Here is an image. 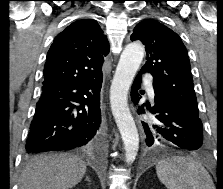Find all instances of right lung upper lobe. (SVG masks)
I'll return each mask as SVG.
<instances>
[{
  "label": "right lung upper lobe",
  "instance_id": "right-lung-upper-lobe-1",
  "mask_svg": "<svg viewBox=\"0 0 223 189\" xmlns=\"http://www.w3.org/2000/svg\"><path fill=\"white\" fill-rule=\"evenodd\" d=\"M109 43L95 20H78L59 33L44 66L43 85L78 82L102 74Z\"/></svg>",
  "mask_w": 223,
  "mask_h": 189
}]
</instances>
